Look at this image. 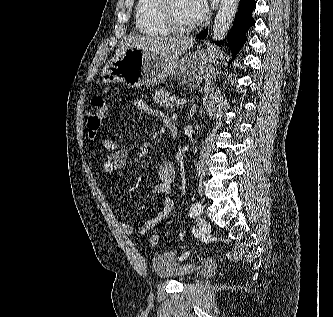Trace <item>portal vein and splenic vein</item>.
Wrapping results in <instances>:
<instances>
[{
    "instance_id": "1",
    "label": "portal vein and splenic vein",
    "mask_w": 333,
    "mask_h": 317,
    "mask_svg": "<svg viewBox=\"0 0 333 317\" xmlns=\"http://www.w3.org/2000/svg\"><path fill=\"white\" fill-rule=\"evenodd\" d=\"M170 101H174L175 104H177V105H183V104L186 103V100H185V99H177V98H175V97H171V98H170Z\"/></svg>"
}]
</instances>
